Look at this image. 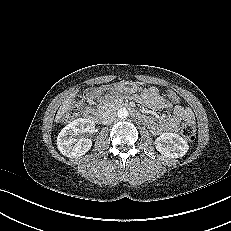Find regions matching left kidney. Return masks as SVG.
I'll list each match as a JSON object with an SVG mask.
<instances>
[{
    "instance_id": "left-kidney-1",
    "label": "left kidney",
    "mask_w": 231,
    "mask_h": 231,
    "mask_svg": "<svg viewBox=\"0 0 231 231\" xmlns=\"http://www.w3.org/2000/svg\"><path fill=\"white\" fill-rule=\"evenodd\" d=\"M155 147L167 158L183 157L189 149L186 140L178 134L166 132L155 140Z\"/></svg>"
}]
</instances>
